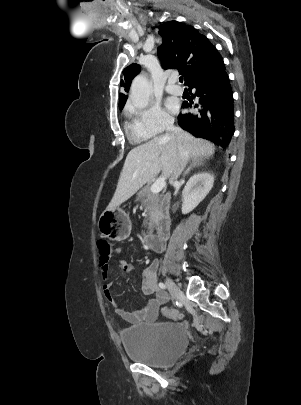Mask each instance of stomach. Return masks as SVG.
I'll return each mask as SVG.
<instances>
[{
    "instance_id": "1",
    "label": "stomach",
    "mask_w": 301,
    "mask_h": 405,
    "mask_svg": "<svg viewBox=\"0 0 301 405\" xmlns=\"http://www.w3.org/2000/svg\"><path fill=\"white\" fill-rule=\"evenodd\" d=\"M131 228L129 216L119 207L113 210H104L98 220V229L101 235L114 241L128 238Z\"/></svg>"
}]
</instances>
